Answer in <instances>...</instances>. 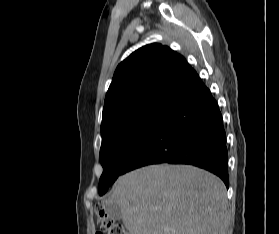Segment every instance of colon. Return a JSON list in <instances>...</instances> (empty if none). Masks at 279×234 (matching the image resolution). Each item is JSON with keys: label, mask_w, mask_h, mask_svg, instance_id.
<instances>
[{"label": "colon", "mask_w": 279, "mask_h": 234, "mask_svg": "<svg viewBox=\"0 0 279 234\" xmlns=\"http://www.w3.org/2000/svg\"><path fill=\"white\" fill-rule=\"evenodd\" d=\"M101 229L96 234H127L123 226L111 219L103 210H99Z\"/></svg>", "instance_id": "5ec220e1"}]
</instances>
